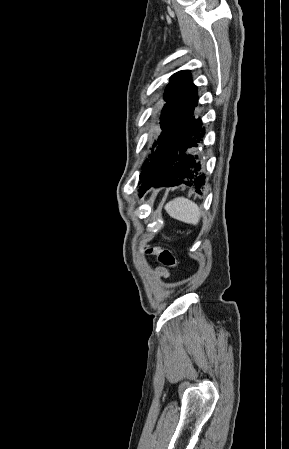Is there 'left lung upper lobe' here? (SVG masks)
<instances>
[{"label": "left lung upper lobe", "mask_w": 289, "mask_h": 449, "mask_svg": "<svg viewBox=\"0 0 289 449\" xmlns=\"http://www.w3.org/2000/svg\"><path fill=\"white\" fill-rule=\"evenodd\" d=\"M165 104L160 118L161 135L159 144L142 166L140 182L157 175L161 169L165 145L192 117L197 106V87L193 84L189 70H182L170 77L164 92Z\"/></svg>", "instance_id": "5c2ea615"}]
</instances>
